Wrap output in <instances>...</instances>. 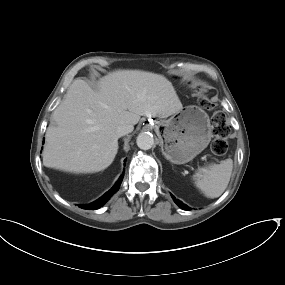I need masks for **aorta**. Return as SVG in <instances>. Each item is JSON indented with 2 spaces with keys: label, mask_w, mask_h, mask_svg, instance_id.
<instances>
[{
  "label": "aorta",
  "mask_w": 285,
  "mask_h": 285,
  "mask_svg": "<svg viewBox=\"0 0 285 285\" xmlns=\"http://www.w3.org/2000/svg\"><path fill=\"white\" fill-rule=\"evenodd\" d=\"M137 146L142 150H149L154 145V138L151 133L142 132L137 136Z\"/></svg>",
  "instance_id": "1"
}]
</instances>
